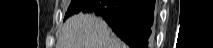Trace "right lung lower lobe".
Listing matches in <instances>:
<instances>
[{
    "label": "right lung lower lobe",
    "instance_id": "1",
    "mask_svg": "<svg viewBox=\"0 0 213 48\" xmlns=\"http://www.w3.org/2000/svg\"><path fill=\"white\" fill-rule=\"evenodd\" d=\"M155 0H88L81 12L102 17L132 48H148Z\"/></svg>",
    "mask_w": 213,
    "mask_h": 48
}]
</instances>
